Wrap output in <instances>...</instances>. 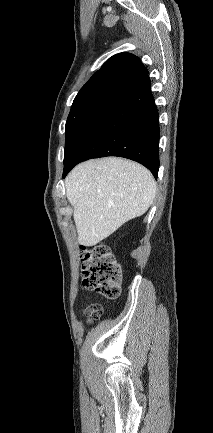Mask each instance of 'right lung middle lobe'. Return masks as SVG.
I'll use <instances>...</instances> for the list:
<instances>
[{"label": "right lung middle lobe", "instance_id": "dd1d6c3e", "mask_svg": "<svg viewBox=\"0 0 213 433\" xmlns=\"http://www.w3.org/2000/svg\"><path fill=\"white\" fill-rule=\"evenodd\" d=\"M118 95L117 93H103L73 102L65 127V153L88 123Z\"/></svg>", "mask_w": 213, "mask_h": 433}]
</instances>
